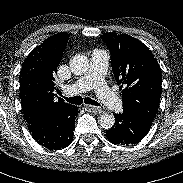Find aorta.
Returning <instances> with one entry per match:
<instances>
[{"label":"aorta","mask_w":183,"mask_h":183,"mask_svg":"<svg viewBox=\"0 0 183 183\" xmlns=\"http://www.w3.org/2000/svg\"><path fill=\"white\" fill-rule=\"evenodd\" d=\"M89 69V59L84 55H75L70 60V70L75 75H83ZM115 123V118L112 114L103 113L99 117V124L104 129H110Z\"/></svg>","instance_id":"762f6f07"}]
</instances>
